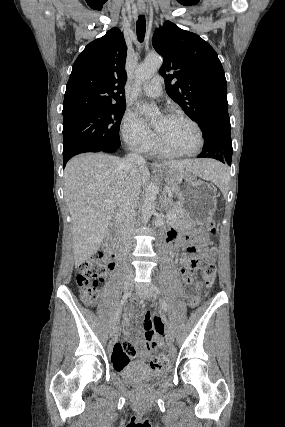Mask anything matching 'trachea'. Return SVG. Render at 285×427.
<instances>
[{
  "instance_id": "trachea-1",
  "label": "trachea",
  "mask_w": 285,
  "mask_h": 427,
  "mask_svg": "<svg viewBox=\"0 0 285 427\" xmlns=\"http://www.w3.org/2000/svg\"><path fill=\"white\" fill-rule=\"evenodd\" d=\"M136 32L139 42L142 43L146 32V20L144 15H139L138 17L136 22Z\"/></svg>"
}]
</instances>
